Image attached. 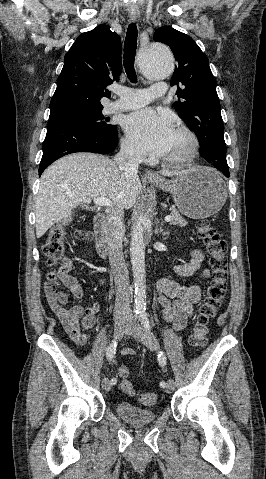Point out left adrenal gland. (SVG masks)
I'll return each instance as SVG.
<instances>
[{
	"label": "left adrenal gland",
	"mask_w": 266,
	"mask_h": 479,
	"mask_svg": "<svg viewBox=\"0 0 266 479\" xmlns=\"http://www.w3.org/2000/svg\"><path fill=\"white\" fill-rule=\"evenodd\" d=\"M158 231H159V233H162V235H168L169 236V231L163 232L162 227H160V229Z\"/></svg>",
	"instance_id": "obj_1"
}]
</instances>
